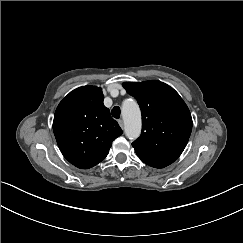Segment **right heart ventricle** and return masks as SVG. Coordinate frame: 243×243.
<instances>
[{
    "label": "right heart ventricle",
    "mask_w": 243,
    "mask_h": 243,
    "mask_svg": "<svg viewBox=\"0 0 243 243\" xmlns=\"http://www.w3.org/2000/svg\"><path fill=\"white\" fill-rule=\"evenodd\" d=\"M132 102H133L132 99H128L125 103H126V104H129V103H132Z\"/></svg>",
    "instance_id": "right-heart-ventricle-1"
}]
</instances>
